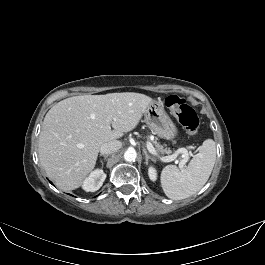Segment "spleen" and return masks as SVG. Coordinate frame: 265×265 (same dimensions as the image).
Here are the masks:
<instances>
[{"label": "spleen", "instance_id": "1", "mask_svg": "<svg viewBox=\"0 0 265 265\" xmlns=\"http://www.w3.org/2000/svg\"><path fill=\"white\" fill-rule=\"evenodd\" d=\"M216 161V145L206 139L184 170L167 165L161 173V186L172 200L188 198L198 192L209 179Z\"/></svg>", "mask_w": 265, "mask_h": 265}]
</instances>
